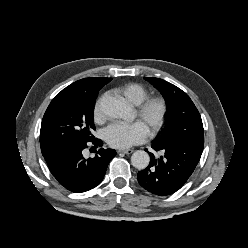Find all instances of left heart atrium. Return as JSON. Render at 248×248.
<instances>
[{
	"label": "left heart atrium",
	"instance_id": "1",
	"mask_svg": "<svg viewBox=\"0 0 248 248\" xmlns=\"http://www.w3.org/2000/svg\"><path fill=\"white\" fill-rule=\"evenodd\" d=\"M148 136V129L141 121L133 123H113L104 131L105 141L117 149H127L142 143Z\"/></svg>",
	"mask_w": 248,
	"mask_h": 248
}]
</instances>
